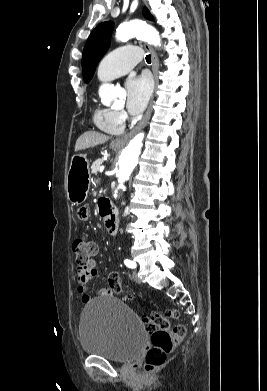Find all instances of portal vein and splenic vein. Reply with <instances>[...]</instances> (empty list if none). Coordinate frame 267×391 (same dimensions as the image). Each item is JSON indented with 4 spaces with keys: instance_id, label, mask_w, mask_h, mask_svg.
Masks as SVG:
<instances>
[{
    "instance_id": "portal-vein-and-splenic-vein-1",
    "label": "portal vein and splenic vein",
    "mask_w": 267,
    "mask_h": 391,
    "mask_svg": "<svg viewBox=\"0 0 267 391\" xmlns=\"http://www.w3.org/2000/svg\"><path fill=\"white\" fill-rule=\"evenodd\" d=\"M99 171L103 172L104 171V166L100 167Z\"/></svg>"
}]
</instances>
